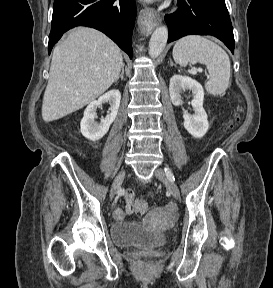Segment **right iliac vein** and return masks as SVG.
<instances>
[{
    "instance_id": "right-iliac-vein-1",
    "label": "right iliac vein",
    "mask_w": 273,
    "mask_h": 288,
    "mask_svg": "<svg viewBox=\"0 0 273 288\" xmlns=\"http://www.w3.org/2000/svg\"><path fill=\"white\" fill-rule=\"evenodd\" d=\"M124 177H125V171L123 170L117 175V177L113 181L111 191H110V197H113L116 194L117 190L119 189V187L121 186L123 182Z\"/></svg>"
}]
</instances>
